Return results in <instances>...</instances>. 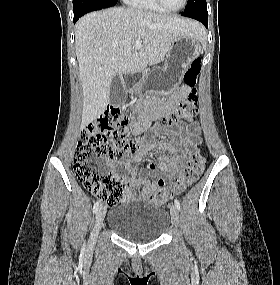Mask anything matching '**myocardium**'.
I'll list each match as a JSON object with an SVG mask.
<instances>
[{
	"mask_svg": "<svg viewBox=\"0 0 280 285\" xmlns=\"http://www.w3.org/2000/svg\"><path fill=\"white\" fill-rule=\"evenodd\" d=\"M155 1L157 2V4L159 5V7L161 9H163L165 12H169V13L180 12L181 10H183L185 8V6L187 5V2H188V0H183L180 7L176 8V9H170L165 5L163 0H155Z\"/></svg>",
	"mask_w": 280,
	"mask_h": 285,
	"instance_id": "1",
	"label": "myocardium"
}]
</instances>
